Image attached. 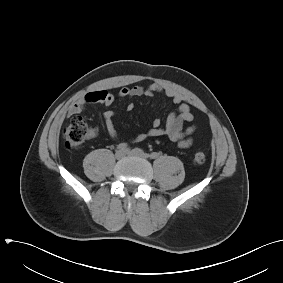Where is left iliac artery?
<instances>
[{"label":"left iliac artery","instance_id":"left-iliac-artery-1","mask_svg":"<svg viewBox=\"0 0 283 283\" xmlns=\"http://www.w3.org/2000/svg\"><path fill=\"white\" fill-rule=\"evenodd\" d=\"M148 157H150L151 159H156V158L159 157V153L152 152V153L148 154Z\"/></svg>","mask_w":283,"mask_h":283}]
</instances>
